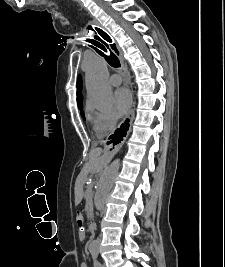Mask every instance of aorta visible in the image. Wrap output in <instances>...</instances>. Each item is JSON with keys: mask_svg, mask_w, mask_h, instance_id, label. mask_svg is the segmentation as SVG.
Listing matches in <instances>:
<instances>
[{"mask_svg": "<svg viewBox=\"0 0 225 267\" xmlns=\"http://www.w3.org/2000/svg\"><path fill=\"white\" fill-rule=\"evenodd\" d=\"M107 79V63L103 58L96 57L87 63L85 80L88 94V104L99 110L107 109L113 102L112 90ZM119 168L120 160L116 159L103 171L100 176L94 197V205L98 211H102L105 208L106 201L118 175ZM89 247L90 250L96 251L98 250L99 242L95 240Z\"/></svg>", "mask_w": 225, "mask_h": 267, "instance_id": "aorta-1", "label": "aorta"}]
</instances>
